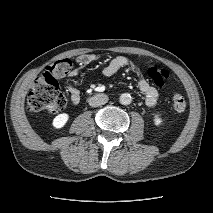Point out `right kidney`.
<instances>
[{"mask_svg":"<svg viewBox=\"0 0 213 213\" xmlns=\"http://www.w3.org/2000/svg\"><path fill=\"white\" fill-rule=\"evenodd\" d=\"M69 119V115L67 113H62L57 115L54 119H53V126L57 129L62 128L65 126V124L67 123Z\"/></svg>","mask_w":213,"mask_h":213,"instance_id":"obj_1","label":"right kidney"}]
</instances>
